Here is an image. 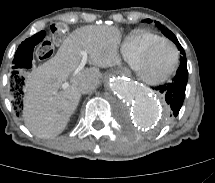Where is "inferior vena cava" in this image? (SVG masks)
<instances>
[{
  "instance_id": "obj_1",
  "label": "inferior vena cava",
  "mask_w": 215,
  "mask_h": 183,
  "mask_svg": "<svg viewBox=\"0 0 215 183\" xmlns=\"http://www.w3.org/2000/svg\"><path fill=\"white\" fill-rule=\"evenodd\" d=\"M98 82L84 81L79 85V91L82 94L91 93L98 87Z\"/></svg>"
}]
</instances>
